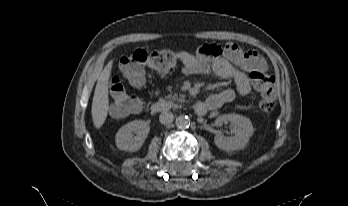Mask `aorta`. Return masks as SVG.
<instances>
[{
    "instance_id": "762f6f07",
    "label": "aorta",
    "mask_w": 348,
    "mask_h": 206,
    "mask_svg": "<svg viewBox=\"0 0 348 206\" xmlns=\"http://www.w3.org/2000/svg\"><path fill=\"white\" fill-rule=\"evenodd\" d=\"M175 124L179 129H184L189 126L190 119L186 115H180L176 118Z\"/></svg>"
}]
</instances>
